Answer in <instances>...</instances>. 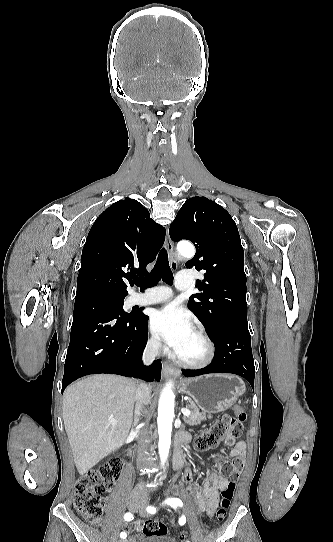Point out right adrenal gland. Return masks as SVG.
<instances>
[{"mask_svg": "<svg viewBox=\"0 0 333 542\" xmlns=\"http://www.w3.org/2000/svg\"><path fill=\"white\" fill-rule=\"evenodd\" d=\"M141 410V404H136V412H134V422H136L138 416H137V412H140Z\"/></svg>", "mask_w": 333, "mask_h": 542, "instance_id": "1", "label": "right adrenal gland"}]
</instances>
